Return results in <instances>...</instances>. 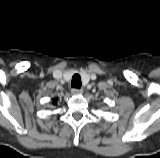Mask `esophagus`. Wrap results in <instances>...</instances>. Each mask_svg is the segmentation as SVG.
Here are the masks:
<instances>
[{
    "mask_svg": "<svg viewBox=\"0 0 160 158\" xmlns=\"http://www.w3.org/2000/svg\"><path fill=\"white\" fill-rule=\"evenodd\" d=\"M82 92H83V90L80 89V88H73L71 90V93L74 94V95L81 94Z\"/></svg>",
    "mask_w": 160,
    "mask_h": 158,
    "instance_id": "obj_1",
    "label": "esophagus"
}]
</instances>
